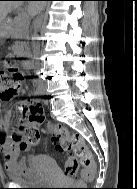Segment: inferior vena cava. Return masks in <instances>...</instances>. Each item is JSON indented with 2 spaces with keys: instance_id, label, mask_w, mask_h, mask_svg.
<instances>
[{
  "instance_id": "1",
  "label": "inferior vena cava",
  "mask_w": 137,
  "mask_h": 189,
  "mask_svg": "<svg viewBox=\"0 0 137 189\" xmlns=\"http://www.w3.org/2000/svg\"><path fill=\"white\" fill-rule=\"evenodd\" d=\"M39 75V74H38ZM43 79V78H42ZM38 85H40V88H45V82H38Z\"/></svg>"
}]
</instances>
